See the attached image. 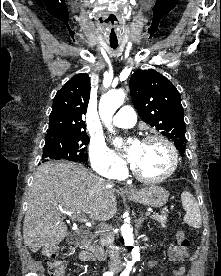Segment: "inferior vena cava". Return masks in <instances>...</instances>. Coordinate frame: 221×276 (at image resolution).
Instances as JSON below:
<instances>
[{"label": "inferior vena cava", "instance_id": "602c4592", "mask_svg": "<svg viewBox=\"0 0 221 276\" xmlns=\"http://www.w3.org/2000/svg\"><path fill=\"white\" fill-rule=\"evenodd\" d=\"M99 235L101 245L108 248L110 265L113 268H119L121 266L120 252L114 246V235L111 227L104 221H101L99 225Z\"/></svg>", "mask_w": 221, "mask_h": 276}]
</instances>
